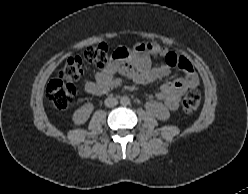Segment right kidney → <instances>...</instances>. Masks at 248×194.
Instances as JSON below:
<instances>
[{"instance_id": "right-kidney-1", "label": "right kidney", "mask_w": 248, "mask_h": 194, "mask_svg": "<svg viewBox=\"0 0 248 194\" xmlns=\"http://www.w3.org/2000/svg\"><path fill=\"white\" fill-rule=\"evenodd\" d=\"M93 110H94V105L92 103H85L84 105H82L79 109H77L74 112L72 116V120L74 124L76 125L84 124L88 120Z\"/></svg>"}]
</instances>
